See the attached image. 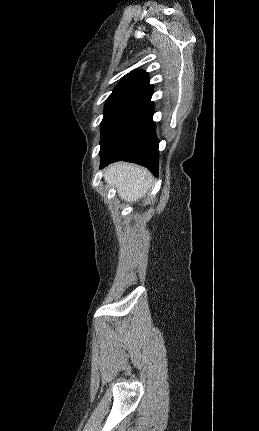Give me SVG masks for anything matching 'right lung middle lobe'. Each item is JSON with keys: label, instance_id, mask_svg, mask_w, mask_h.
Masks as SVG:
<instances>
[{"label": "right lung middle lobe", "instance_id": "right-lung-middle-lobe-1", "mask_svg": "<svg viewBox=\"0 0 259 431\" xmlns=\"http://www.w3.org/2000/svg\"><path fill=\"white\" fill-rule=\"evenodd\" d=\"M152 95L148 89L129 86L118 92H112L105 103L104 117L101 122L100 144L109 136L122 118L144 99Z\"/></svg>", "mask_w": 259, "mask_h": 431}]
</instances>
